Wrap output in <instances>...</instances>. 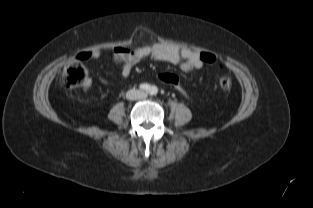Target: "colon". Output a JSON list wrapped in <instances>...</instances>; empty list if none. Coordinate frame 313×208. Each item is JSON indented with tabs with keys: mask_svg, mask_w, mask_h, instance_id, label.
<instances>
[{
	"mask_svg": "<svg viewBox=\"0 0 313 208\" xmlns=\"http://www.w3.org/2000/svg\"><path fill=\"white\" fill-rule=\"evenodd\" d=\"M200 59L203 63L213 64L216 62L217 57L214 53L203 51L199 53ZM160 79L174 87L176 95L184 100L189 99V93L183 86L179 76L174 73H162L159 75ZM88 82V74L84 65L79 60L71 61L64 69L62 76V83L68 89L78 88L85 86ZM218 83L222 89H229L232 81L229 75L220 76Z\"/></svg>",
	"mask_w": 313,
	"mask_h": 208,
	"instance_id": "5ec220e1",
	"label": "colon"
}]
</instances>
